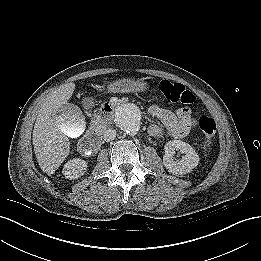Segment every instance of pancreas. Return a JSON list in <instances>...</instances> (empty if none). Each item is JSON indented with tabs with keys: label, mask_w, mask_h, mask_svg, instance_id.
Returning <instances> with one entry per match:
<instances>
[{
	"label": "pancreas",
	"mask_w": 261,
	"mask_h": 261,
	"mask_svg": "<svg viewBox=\"0 0 261 261\" xmlns=\"http://www.w3.org/2000/svg\"><path fill=\"white\" fill-rule=\"evenodd\" d=\"M106 128V125L104 122L100 121L97 125H96V129L100 132L104 131Z\"/></svg>",
	"instance_id": "pancreas-1"
}]
</instances>
